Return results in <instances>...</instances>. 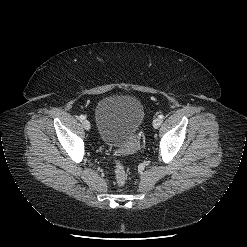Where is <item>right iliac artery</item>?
<instances>
[{
    "instance_id": "82829eb1",
    "label": "right iliac artery",
    "mask_w": 247,
    "mask_h": 247,
    "mask_svg": "<svg viewBox=\"0 0 247 247\" xmlns=\"http://www.w3.org/2000/svg\"><path fill=\"white\" fill-rule=\"evenodd\" d=\"M79 119H80V120H85V119H86V116L80 115V116H79Z\"/></svg>"
}]
</instances>
